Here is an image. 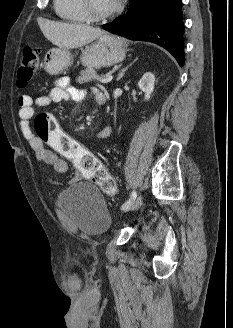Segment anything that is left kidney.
I'll use <instances>...</instances> for the list:
<instances>
[{
    "label": "left kidney",
    "mask_w": 233,
    "mask_h": 328,
    "mask_svg": "<svg viewBox=\"0 0 233 328\" xmlns=\"http://www.w3.org/2000/svg\"><path fill=\"white\" fill-rule=\"evenodd\" d=\"M155 76L151 72H146L138 82V87L145 93V100H149L154 90Z\"/></svg>",
    "instance_id": "obj_1"
}]
</instances>
